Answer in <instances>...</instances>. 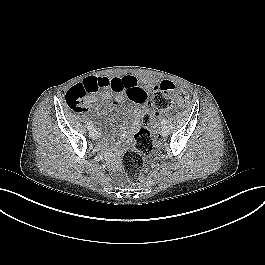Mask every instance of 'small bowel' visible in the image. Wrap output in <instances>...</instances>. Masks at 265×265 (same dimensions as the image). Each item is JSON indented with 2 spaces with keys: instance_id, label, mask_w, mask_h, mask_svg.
I'll return each mask as SVG.
<instances>
[{
  "instance_id": "1",
  "label": "small bowel",
  "mask_w": 265,
  "mask_h": 265,
  "mask_svg": "<svg viewBox=\"0 0 265 265\" xmlns=\"http://www.w3.org/2000/svg\"><path fill=\"white\" fill-rule=\"evenodd\" d=\"M92 79L99 86L97 91L100 92L98 94L87 96L85 100V108H90L93 103L99 101L100 99H109L113 94H116V96L112 101V106L119 107L122 105L125 96L129 101L137 104L132 109V128H136L140 124V120L143 114V110L140 105L145 104L148 101L149 95L147 91L153 89L155 84L152 81L147 80L139 83L137 78L130 75L115 77H95ZM139 85H141L144 89L140 88ZM126 135L127 134L124 133V136Z\"/></svg>"
}]
</instances>
